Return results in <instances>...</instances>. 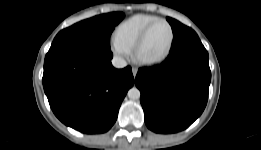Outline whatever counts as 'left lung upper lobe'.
I'll list each match as a JSON object with an SVG mask.
<instances>
[{
	"instance_id": "5c2ea615",
	"label": "left lung upper lobe",
	"mask_w": 261,
	"mask_h": 150,
	"mask_svg": "<svg viewBox=\"0 0 261 150\" xmlns=\"http://www.w3.org/2000/svg\"><path fill=\"white\" fill-rule=\"evenodd\" d=\"M167 21L170 23L172 30H173V34L178 33L179 31L183 30L185 27V25H183L182 23H180L179 21L169 18L167 17Z\"/></svg>"
}]
</instances>
